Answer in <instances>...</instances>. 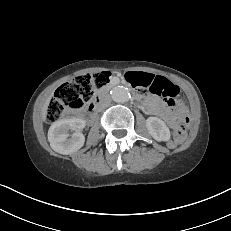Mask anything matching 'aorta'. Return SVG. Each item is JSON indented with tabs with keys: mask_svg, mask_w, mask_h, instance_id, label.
<instances>
[{
	"mask_svg": "<svg viewBox=\"0 0 231 231\" xmlns=\"http://www.w3.org/2000/svg\"><path fill=\"white\" fill-rule=\"evenodd\" d=\"M111 98L117 103H124L129 100L130 93L125 87L116 86L111 90Z\"/></svg>",
	"mask_w": 231,
	"mask_h": 231,
	"instance_id": "aorta-1",
	"label": "aorta"
}]
</instances>
